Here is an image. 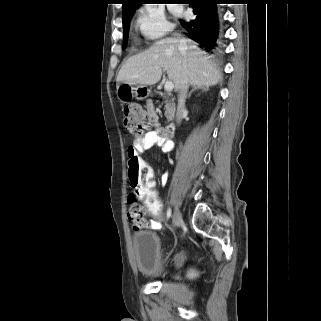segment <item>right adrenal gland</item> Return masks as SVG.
I'll return each mask as SVG.
<instances>
[{
    "label": "right adrenal gland",
    "instance_id": "right-adrenal-gland-1",
    "mask_svg": "<svg viewBox=\"0 0 321 321\" xmlns=\"http://www.w3.org/2000/svg\"><path fill=\"white\" fill-rule=\"evenodd\" d=\"M202 90L203 92H206V91H208V87H194L190 92H189V94L187 95V98H190L191 97V94L194 92V91H196V90Z\"/></svg>",
    "mask_w": 321,
    "mask_h": 321
}]
</instances>
